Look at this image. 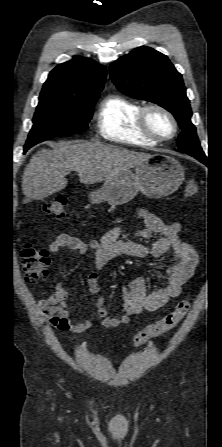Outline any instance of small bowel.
I'll list each match as a JSON object with an SVG mask.
<instances>
[{
  "instance_id": "small-bowel-1",
  "label": "small bowel",
  "mask_w": 222,
  "mask_h": 447,
  "mask_svg": "<svg viewBox=\"0 0 222 447\" xmlns=\"http://www.w3.org/2000/svg\"><path fill=\"white\" fill-rule=\"evenodd\" d=\"M137 217L146 225L138 230L136 236L144 240H152L153 235L159 238L150 244L120 238L122 226L117 225L108 230L100 239L84 242L80 238L62 233L50 243L49 251L53 254L64 248L78 253H85L88 248L95 252V269L90 270L86 282L92 292L100 290L98 271L103 269L111 260L120 256L136 258H160L167 252H172L173 261L165 268L168 282L152 292H147L143 277H136L127 283L124 289V309L120 317H112L103 306L100 298L96 304V312L101 318L100 326L115 328L129 322L130 318L141 313L142 310L156 311L167 305L171 299L179 296L182 286L193 276L198 263V256L193 247L183 240L182 225L179 222H168L145 209L137 211ZM69 293L61 283L55 287V292L38 301V308L42 311L50 324L61 331L83 333L96 326L95 322L85 319L73 321L74 315L68 310Z\"/></svg>"
}]
</instances>
